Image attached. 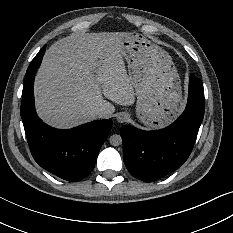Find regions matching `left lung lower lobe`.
I'll return each instance as SVG.
<instances>
[{"mask_svg": "<svg viewBox=\"0 0 233 233\" xmlns=\"http://www.w3.org/2000/svg\"><path fill=\"white\" fill-rule=\"evenodd\" d=\"M204 111L203 83L191 74L186 109L173 124L156 131L124 125L123 159L130 174L152 182L179 168L193 149Z\"/></svg>", "mask_w": 233, "mask_h": 233, "instance_id": "left-lung-lower-lobe-1", "label": "left lung lower lobe"}]
</instances>
